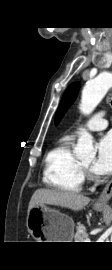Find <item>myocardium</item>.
Listing matches in <instances>:
<instances>
[{
    "label": "myocardium",
    "mask_w": 112,
    "mask_h": 270,
    "mask_svg": "<svg viewBox=\"0 0 112 270\" xmlns=\"http://www.w3.org/2000/svg\"><path fill=\"white\" fill-rule=\"evenodd\" d=\"M80 166H81V170H82V173H83V176H86V177H91L90 173H89V168L87 166H85L83 163H80Z\"/></svg>",
    "instance_id": "1"
}]
</instances>
